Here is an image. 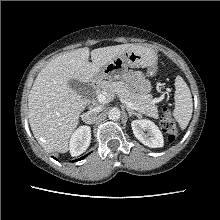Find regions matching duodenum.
<instances>
[{
    "mask_svg": "<svg viewBox=\"0 0 220 220\" xmlns=\"http://www.w3.org/2000/svg\"><path fill=\"white\" fill-rule=\"evenodd\" d=\"M88 87L91 91H93L96 87V81L92 80L89 82Z\"/></svg>",
    "mask_w": 220,
    "mask_h": 220,
    "instance_id": "obj_1",
    "label": "duodenum"
}]
</instances>
